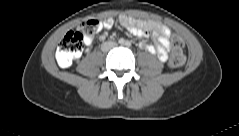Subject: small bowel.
Masks as SVG:
<instances>
[{"label":"small bowel","mask_w":239,"mask_h":136,"mask_svg":"<svg viewBox=\"0 0 239 136\" xmlns=\"http://www.w3.org/2000/svg\"><path fill=\"white\" fill-rule=\"evenodd\" d=\"M119 22L123 25L130 34L136 37H157L158 44L156 46L142 44V48L152 54H156L160 61L165 62L168 58V52L170 49V34L171 31L168 27L161 23L147 22L141 20H135L126 15H122L119 18ZM113 25V20L109 19L100 23L99 29H110ZM93 43L92 38H85L84 44L91 46Z\"/></svg>","instance_id":"c3829d8e"}]
</instances>
